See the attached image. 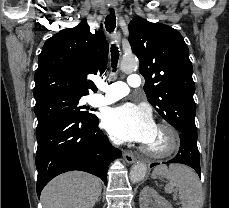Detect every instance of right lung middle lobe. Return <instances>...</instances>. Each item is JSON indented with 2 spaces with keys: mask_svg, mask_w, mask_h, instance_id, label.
<instances>
[{
  "mask_svg": "<svg viewBox=\"0 0 229 208\" xmlns=\"http://www.w3.org/2000/svg\"><path fill=\"white\" fill-rule=\"evenodd\" d=\"M82 96L54 95L36 101L35 114L38 119L36 132L42 130L53 121L68 115L82 118H95L89 113L86 106H80ZM92 110V109H91Z\"/></svg>",
  "mask_w": 229,
  "mask_h": 208,
  "instance_id": "right-lung-middle-lobe-1",
  "label": "right lung middle lobe"
}]
</instances>
